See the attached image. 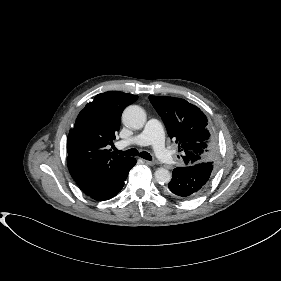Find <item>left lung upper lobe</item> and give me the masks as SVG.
<instances>
[{
	"mask_svg": "<svg viewBox=\"0 0 281 281\" xmlns=\"http://www.w3.org/2000/svg\"><path fill=\"white\" fill-rule=\"evenodd\" d=\"M153 107L164 121L168 135L178 144L184 166L215 162V147L206 116L184 99L149 96Z\"/></svg>",
	"mask_w": 281,
	"mask_h": 281,
	"instance_id": "left-lung-upper-lobe-1",
	"label": "left lung upper lobe"
}]
</instances>
